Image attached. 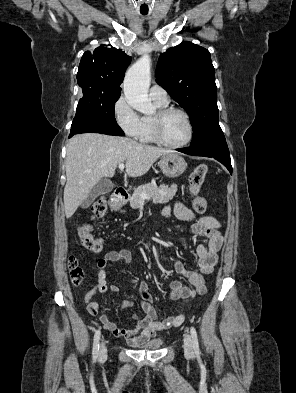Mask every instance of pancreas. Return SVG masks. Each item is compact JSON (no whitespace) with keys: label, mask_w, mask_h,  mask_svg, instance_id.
Returning a JSON list of instances; mask_svg holds the SVG:
<instances>
[{"label":"pancreas","mask_w":296,"mask_h":393,"mask_svg":"<svg viewBox=\"0 0 296 393\" xmlns=\"http://www.w3.org/2000/svg\"><path fill=\"white\" fill-rule=\"evenodd\" d=\"M176 192V184H172L170 187H168L167 185H160V187H156L151 183L141 185L134 190V193L130 198V206L131 208L136 209L149 199H151L155 204H165L168 203L175 196ZM142 193H145L149 198H142Z\"/></svg>","instance_id":"cf45deb5"}]
</instances>
